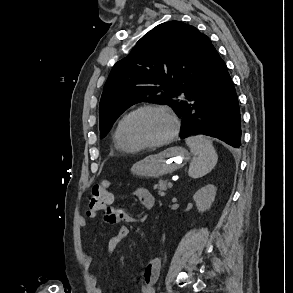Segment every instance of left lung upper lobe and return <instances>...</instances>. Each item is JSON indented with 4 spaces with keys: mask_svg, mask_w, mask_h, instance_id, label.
Listing matches in <instances>:
<instances>
[{
    "mask_svg": "<svg viewBox=\"0 0 293 293\" xmlns=\"http://www.w3.org/2000/svg\"><path fill=\"white\" fill-rule=\"evenodd\" d=\"M211 46L205 34L180 21L159 24L145 34L114 65L105 83L99 107L100 137L139 102L168 105L178 114L180 96L201 80Z\"/></svg>",
    "mask_w": 293,
    "mask_h": 293,
    "instance_id": "1",
    "label": "left lung upper lobe"
}]
</instances>
